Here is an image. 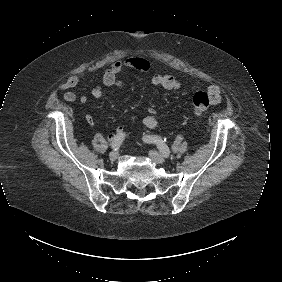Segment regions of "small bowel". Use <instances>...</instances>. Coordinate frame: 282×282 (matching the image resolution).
I'll use <instances>...</instances> for the list:
<instances>
[{
  "instance_id": "1",
  "label": "small bowel",
  "mask_w": 282,
  "mask_h": 282,
  "mask_svg": "<svg viewBox=\"0 0 282 282\" xmlns=\"http://www.w3.org/2000/svg\"><path fill=\"white\" fill-rule=\"evenodd\" d=\"M132 68L141 72H148L151 70L150 63L143 57L139 56H131L124 60H117L115 61L104 73L103 76V83L102 85H96L92 90V95L95 98H100L105 93L106 87H121L123 85L122 81L118 78L119 74L123 70V68ZM83 74H74L69 76L65 82H63L59 86V90L64 92V99L67 102H73L76 100L77 96L75 92L70 90L71 88L75 87L80 80L83 78ZM151 83L153 86L162 87L168 90H177L181 87V82L168 75L163 74H155L152 79ZM208 95L210 97V101L212 105H217L221 102V90L216 85H211L208 87ZM82 105L87 103V98L82 97L80 99ZM86 121L90 126L94 125V118L91 114L86 115ZM165 121L160 120L154 115V110L150 109L149 115H147L143 119V124L148 129H155L162 124H165ZM123 132V128L119 127L115 134L120 135Z\"/></svg>"
}]
</instances>
